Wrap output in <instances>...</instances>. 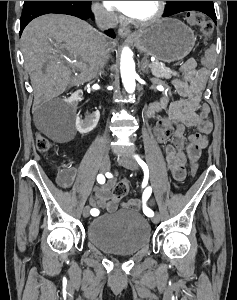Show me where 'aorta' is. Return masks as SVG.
I'll use <instances>...</instances> for the list:
<instances>
[{
  "label": "aorta",
  "mask_w": 237,
  "mask_h": 300,
  "mask_svg": "<svg viewBox=\"0 0 237 300\" xmlns=\"http://www.w3.org/2000/svg\"><path fill=\"white\" fill-rule=\"evenodd\" d=\"M120 71L122 77V83L127 91V93H134L136 83V71L135 63L130 55V49H123L121 59H120Z\"/></svg>",
  "instance_id": "obj_1"
}]
</instances>
